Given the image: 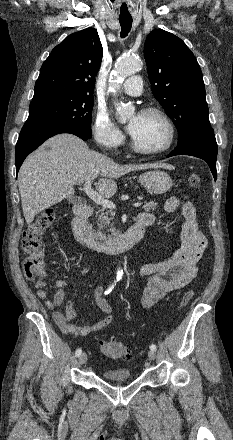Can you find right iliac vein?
Instances as JSON below:
<instances>
[{"label":"right iliac vein","instance_id":"obj_1","mask_svg":"<svg viewBox=\"0 0 233 440\" xmlns=\"http://www.w3.org/2000/svg\"><path fill=\"white\" fill-rule=\"evenodd\" d=\"M86 361H87V354L86 353H82L79 356L78 362H79L80 365H83Z\"/></svg>","mask_w":233,"mask_h":440}]
</instances>
